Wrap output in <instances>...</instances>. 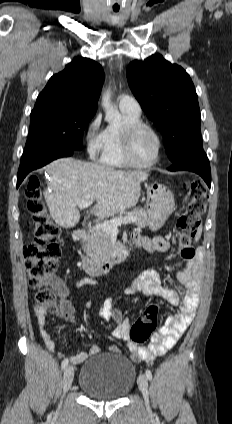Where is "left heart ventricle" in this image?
I'll return each mask as SVG.
<instances>
[{"instance_id":"b2bd125f","label":"left heart ventricle","mask_w":232,"mask_h":424,"mask_svg":"<svg viewBox=\"0 0 232 424\" xmlns=\"http://www.w3.org/2000/svg\"><path fill=\"white\" fill-rule=\"evenodd\" d=\"M156 149L154 135L149 130L142 129L133 139L132 157L138 163H148L155 157Z\"/></svg>"}]
</instances>
